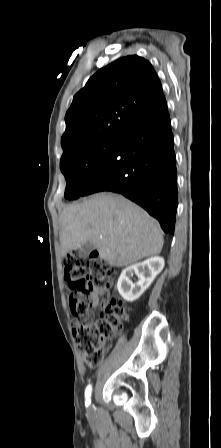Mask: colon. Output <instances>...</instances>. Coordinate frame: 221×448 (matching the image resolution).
I'll return each instance as SVG.
<instances>
[{
    "label": "colon",
    "instance_id": "colon-1",
    "mask_svg": "<svg viewBox=\"0 0 221 448\" xmlns=\"http://www.w3.org/2000/svg\"><path fill=\"white\" fill-rule=\"evenodd\" d=\"M63 268L68 283L70 310L81 317L75 323L73 336L86 364L95 367L102 361L107 345L127 318L126 308L117 298L108 301L98 318L94 319L90 312L93 298L98 294H107L114 270L95 253L86 258L68 254Z\"/></svg>",
    "mask_w": 221,
    "mask_h": 448
}]
</instances>
